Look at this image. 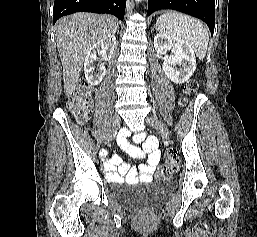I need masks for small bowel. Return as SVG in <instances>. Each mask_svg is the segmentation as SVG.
I'll list each match as a JSON object with an SVG mask.
<instances>
[{"instance_id":"small-bowel-1","label":"small bowel","mask_w":257,"mask_h":237,"mask_svg":"<svg viewBox=\"0 0 257 237\" xmlns=\"http://www.w3.org/2000/svg\"><path fill=\"white\" fill-rule=\"evenodd\" d=\"M127 132L122 131L118 137V142L125 148L130 156L137 159H146V163L138 168L131 167L122 161V158L115 154L105 163V175L113 182H137L150 181L161 158L160 151L157 148L155 137H147L140 133L133 137L132 143L126 139ZM141 144V147L137 145Z\"/></svg>"}]
</instances>
